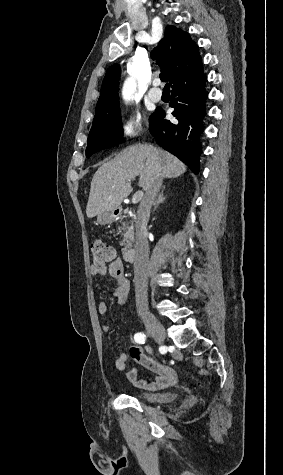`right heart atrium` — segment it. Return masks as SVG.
<instances>
[{"instance_id":"right-heart-atrium-1","label":"right heart atrium","mask_w":283,"mask_h":475,"mask_svg":"<svg viewBox=\"0 0 283 475\" xmlns=\"http://www.w3.org/2000/svg\"><path fill=\"white\" fill-rule=\"evenodd\" d=\"M117 131L123 137L132 138L145 132L146 127L140 115L130 114L120 122Z\"/></svg>"}]
</instances>
